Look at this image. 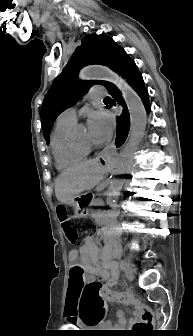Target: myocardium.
<instances>
[{
	"label": "myocardium",
	"mask_w": 193,
	"mask_h": 336,
	"mask_svg": "<svg viewBox=\"0 0 193 336\" xmlns=\"http://www.w3.org/2000/svg\"><path fill=\"white\" fill-rule=\"evenodd\" d=\"M79 143L89 149L93 147V143L91 141L79 142Z\"/></svg>",
	"instance_id": "f54148a6"
}]
</instances>
